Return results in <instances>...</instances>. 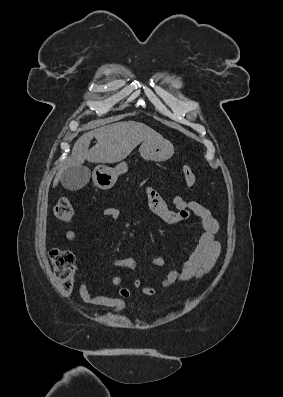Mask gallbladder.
<instances>
[{
    "mask_svg": "<svg viewBox=\"0 0 283 397\" xmlns=\"http://www.w3.org/2000/svg\"><path fill=\"white\" fill-rule=\"evenodd\" d=\"M90 179V170L85 166L70 167L62 173L61 183L64 188L76 191L83 188Z\"/></svg>",
    "mask_w": 283,
    "mask_h": 397,
    "instance_id": "gallbladder-1",
    "label": "gallbladder"
}]
</instances>
